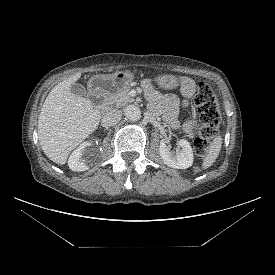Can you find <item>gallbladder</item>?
<instances>
[{
	"label": "gallbladder",
	"mask_w": 275,
	"mask_h": 275,
	"mask_svg": "<svg viewBox=\"0 0 275 275\" xmlns=\"http://www.w3.org/2000/svg\"><path fill=\"white\" fill-rule=\"evenodd\" d=\"M70 90L73 94L78 96H85L87 94L86 88L79 83H73Z\"/></svg>",
	"instance_id": "gallbladder-1"
}]
</instances>
